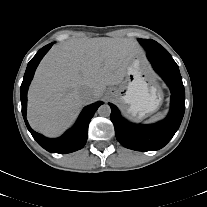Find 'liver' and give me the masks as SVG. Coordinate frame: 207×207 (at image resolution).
Returning <instances> with one entry per match:
<instances>
[{
	"mask_svg": "<svg viewBox=\"0 0 207 207\" xmlns=\"http://www.w3.org/2000/svg\"><path fill=\"white\" fill-rule=\"evenodd\" d=\"M140 54L129 38L71 39L55 45L41 61L28 92V121L49 137L59 136L85 102L102 97L106 86L119 85ZM88 89V99L81 91Z\"/></svg>",
	"mask_w": 207,
	"mask_h": 207,
	"instance_id": "6515ba94",
	"label": "liver"
}]
</instances>
